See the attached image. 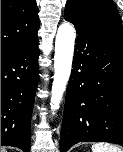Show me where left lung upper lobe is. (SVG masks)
Masks as SVG:
<instances>
[{
  "label": "left lung upper lobe",
  "instance_id": "obj_1",
  "mask_svg": "<svg viewBox=\"0 0 123 152\" xmlns=\"http://www.w3.org/2000/svg\"><path fill=\"white\" fill-rule=\"evenodd\" d=\"M65 15L80 17L88 25L123 43V28L112 0H68Z\"/></svg>",
  "mask_w": 123,
  "mask_h": 152
}]
</instances>
